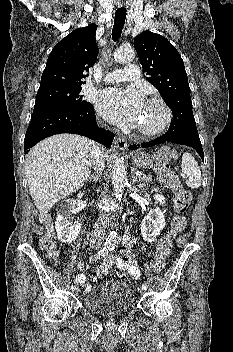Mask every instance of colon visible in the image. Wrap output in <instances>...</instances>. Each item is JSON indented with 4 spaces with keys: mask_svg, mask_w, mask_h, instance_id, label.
Returning a JSON list of instances; mask_svg holds the SVG:
<instances>
[{
    "mask_svg": "<svg viewBox=\"0 0 233 352\" xmlns=\"http://www.w3.org/2000/svg\"><path fill=\"white\" fill-rule=\"evenodd\" d=\"M175 154L172 150L164 148L156 156V172L160 181L173 191L175 216L172 219L170 230L160 239L156 251L151 259L150 268L153 272H160L164 269L166 259L172 250V241L179 232L187 226L185 212L191 203L190 193L180 184L178 177L170 167ZM40 248L49 256L54 258L57 255V243L55 241L54 227L51 223L45 224V233L39 239ZM114 264L112 256H106L94 272V277L99 278L109 272Z\"/></svg>",
    "mask_w": 233,
    "mask_h": 352,
    "instance_id": "1",
    "label": "colon"
}]
</instances>
